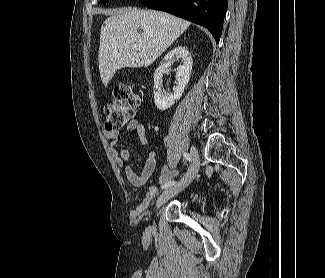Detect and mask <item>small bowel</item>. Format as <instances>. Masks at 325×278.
Returning <instances> with one entry per match:
<instances>
[{"label": "small bowel", "mask_w": 325, "mask_h": 278, "mask_svg": "<svg viewBox=\"0 0 325 278\" xmlns=\"http://www.w3.org/2000/svg\"><path fill=\"white\" fill-rule=\"evenodd\" d=\"M136 131L138 134L139 141L142 145L147 146L150 144V139L146 134V129L144 125L138 120L133 118L127 124H125L121 129L106 132V137L113 143V155L115 163L119 168H122L125 172L127 180L134 187H141L145 185L153 175L156 168V152L151 151L146 158L144 167L140 173H137L130 166V152L116 144V142L121 138L122 133ZM179 174L178 169H170L165 165L159 176L158 182L161 185H164L169 182V180ZM158 195V190L155 187H151L145 198L142 200L138 207V211H142L147 208L154 198Z\"/></svg>", "instance_id": "obj_1"}]
</instances>
